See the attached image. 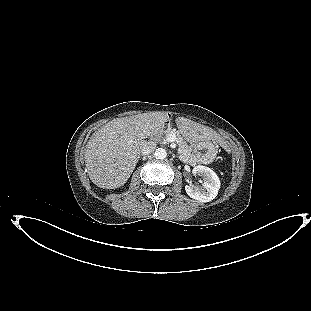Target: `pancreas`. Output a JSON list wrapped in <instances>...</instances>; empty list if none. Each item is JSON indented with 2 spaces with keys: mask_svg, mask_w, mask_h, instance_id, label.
Returning a JSON list of instances; mask_svg holds the SVG:
<instances>
[{
  "mask_svg": "<svg viewBox=\"0 0 311 311\" xmlns=\"http://www.w3.org/2000/svg\"><path fill=\"white\" fill-rule=\"evenodd\" d=\"M164 134L166 138L168 135H173V134L176 135V138H177L176 142L179 146V154L182 155L186 159L187 163L193 164L198 161L196 156L192 153V149L188 146L186 141L183 140V138L181 137L178 131L174 129H167L164 131ZM155 140L160 141L159 136H156Z\"/></svg>",
  "mask_w": 311,
  "mask_h": 311,
  "instance_id": "pancreas-1",
  "label": "pancreas"
}]
</instances>
